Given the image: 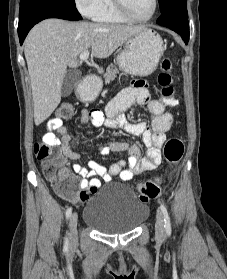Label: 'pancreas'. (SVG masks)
<instances>
[{
    "label": "pancreas",
    "instance_id": "1",
    "mask_svg": "<svg viewBox=\"0 0 227 279\" xmlns=\"http://www.w3.org/2000/svg\"><path fill=\"white\" fill-rule=\"evenodd\" d=\"M117 73L118 69L113 64L109 65L106 69V72L104 73L105 82L109 83L116 77Z\"/></svg>",
    "mask_w": 227,
    "mask_h": 279
}]
</instances>
